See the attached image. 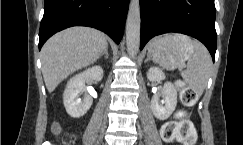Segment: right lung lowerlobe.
<instances>
[{
	"label": "right lung lower lobe",
	"mask_w": 243,
	"mask_h": 145,
	"mask_svg": "<svg viewBox=\"0 0 243 145\" xmlns=\"http://www.w3.org/2000/svg\"><path fill=\"white\" fill-rule=\"evenodd\" d=\"M129 0H45L39 50L58 31L89 26L108 34L117 44L123 36Z\"/></svg>",
	"instance_id": "1"
}]
</instances>
